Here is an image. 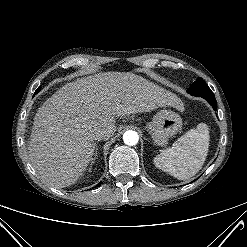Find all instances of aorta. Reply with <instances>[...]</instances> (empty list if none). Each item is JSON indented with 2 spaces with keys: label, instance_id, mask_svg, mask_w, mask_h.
I'll list each match as a JSON object with an SVG mask.
<instances>
[{
  "label": "aorta",
  "instance_id": "aorta-1",
  "mask_svg": "<svg viewBox=\"0 0 247 247\" xmlns=\"http://www.w3.org/2000/svg\"><path fill=\"white\" fill-rule=\"evenodd\" d=\"M123 141L126 145L133 146L138 143L139 136L136 131L129 130L123 134Z\"/></svg>",
  "mask_w": 247,
  "mask_h": 247
}]
</instances>
